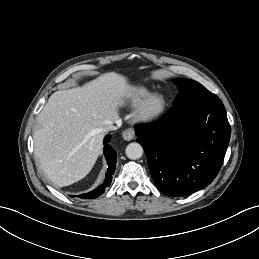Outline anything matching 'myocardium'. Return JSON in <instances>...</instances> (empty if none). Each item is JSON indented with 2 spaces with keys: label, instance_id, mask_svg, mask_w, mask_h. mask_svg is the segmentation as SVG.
<instances>
[{
  "label": "myocardium",
  "instance_id": "f54148a6",
  "mask_svg": "<svg viewBox=\"0 0 259 259\" xmlns=\"http://www.w3.org/2000/svg\"><path fill=\"white\" fill-rule=\"evenodd\" d=\"M166 105V98L162 93H153L140 104L135 113V119L141 122L154 120L164 112Z\"/></svg>",
  "mask_w": 259,
  "mask_h": 259
}]
</instances>
